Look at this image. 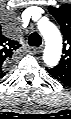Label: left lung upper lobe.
<instances>
[{
  "label": "left lung upper lobe",
  "mask_w": 71,
  "mask_h": 119,
  "mask_svg": "<svg viewBox=\"0 0 71 119\" xmlns=\"http://www.w3.org/2000/svg\"><path fill=\"white\" fill-rule=\"evenodd\" d=\"M48 11L59 23L64 38L63 55L55 67L71 71V4L59 8L50 6Z\"/></svg>",
  "instance_id": "left-lung-upper-lobe-1"
}]
</instances>
